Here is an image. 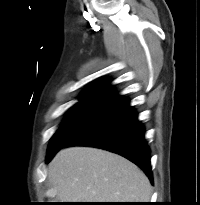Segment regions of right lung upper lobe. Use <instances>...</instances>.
I'll return each instance as SVG.
<instances>
[{
    "label": "right lung upper lobe",
    "mask_w": 200,
    "mask_h": 205,
    "mask_svg": "<svg viewBox=\"0 0 200 205\" xmlns=\"http://www.w3.org/2000/svg\"><path fill=\"white\" fill-rule=\"evenodd\" d=\"M109 79L92 82L81 94V100L116 102L121 97L112 91Z\"/></svg>",
    "instance_id": "1"
}]
</instances>
